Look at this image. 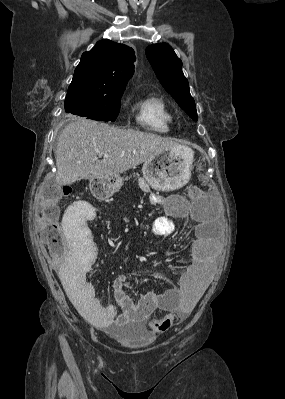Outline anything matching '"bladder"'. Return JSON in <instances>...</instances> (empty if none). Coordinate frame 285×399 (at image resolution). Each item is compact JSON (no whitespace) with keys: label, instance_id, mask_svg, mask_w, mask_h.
<instances>
[{"label":"bladder","instance_id":"obj_1","mask_svg":"<svg viewBox=\"0 0 285 399\" xmlns=\"http://www.w3.org/2000/svg\"><path fill=\"white\" fill-rule=\"evenodd\" d=\"M117 340L124 343L130 348L139 350L147 347L148 335L143 332H137L130 337H122L120 335L117 337Z\"/></svg>","mask_w":285,"mask_h":399}]
</instances>
